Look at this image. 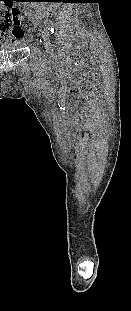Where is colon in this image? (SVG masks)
I'll return each instance as SVG.
<instances>
[{
    "label": "colon",
    "mask_w": 131,
    "mask_h": 311,
    "mask_svg": "<svg viewBox=\"0 0 131 311\" xmlns=\"http://www.w3.org/2000/svg\"><path fill=\"white\" fill-rule=\"evenodd\" d=\"M20 11L18 9L11 8H1L0 7V32L9 31L13 29H32L33 25L30 24H21L19 20Z\"/></svg>",
    "instance_id": "obj_1"
}]
</instances>
